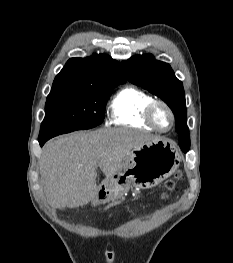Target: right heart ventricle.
<instances>
[{"label":"right heart ventricle","mask_w":233,"mask_h":263,"mask_svg":"<svg viewBox=\"0 0 233 263\" xmlns=\"http://www.w3.org/2000/svg\"><path fill=\"white\" fill-rule=\"evenodd\" d=\"M152 100L150 94L139 88L126 86L120 89L110 103L112 124L153 131L144 116L146 106Z\"/></svg>","instance_id":"1"}]
</instances>
